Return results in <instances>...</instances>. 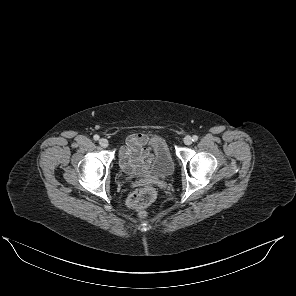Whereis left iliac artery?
<instances>
[{"instance_id":"1","label":"left iliac artery","mask_w":296,"mask_h":296,"mask_svg":"<svg viewBox=\"0 0 296 296\" xmlns=\"http://www.w3.org/2000/svg\"><path fill=\"white\" fill-rule=\"evenodd\" d=\"M198 140V136L197 135H194L193 137H192V141H197Z\"/></svg>"}]
</instances>
